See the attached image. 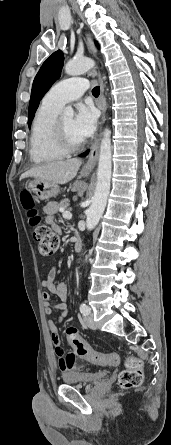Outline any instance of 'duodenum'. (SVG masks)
I'll return each mask as SVG.
<instances>
[{
    "mask_svg": "<svg viewBox=\"0 0 171 445\" xmlns=\"http://www.w3.org/2000/svg\"><path fill=\"white\" fill-rule=\"evenodd\" d=\"M74 248L76 251H80L82 249V240L80 237H76L74 240Z\"/></svg>",
    "mask_w": 171,
    "mask_h": 445,
    "instance_id": "duodenum-1",
    "label": "duodenum"
}]
</instances>
